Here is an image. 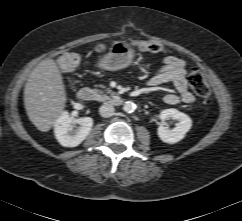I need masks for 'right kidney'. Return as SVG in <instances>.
<instances>
[{"label":"right kidney","instance_id":"1","mask_svg":"<svg viewBox=\"0 0 242 221\" xmlns=\"http://www.w3.org/2000/svg\"><path fill=\"white\" fill-rule=\"evenodd\" d=\"M79 124V127L73 130V125ZM93 126V119L82 117L72 120L68 112L63 111L55 123V136L58 142L64 147H76L89 135Z\"/></svg>","mask_w":242,"mask_h":221}]
</instances>
